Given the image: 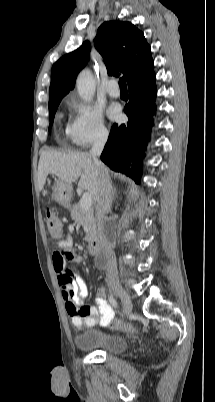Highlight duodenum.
<instances>
[{
	"mask_svg": "<svg viewBox=\"0 0 215 402\" xmlns=\"http://www.w3.org/2000/svg\"><path fill=\"white\" fill-rule=\"evenodd\" d=\"M88 253L95 255L98 254L101 250V241L97 238L89 241L87 245Z\"/></svg>",
	"mask_w": 215,
	"mask_h": 402,
	"instance_id": "410a0bca",
	"label": "duodenum"
}]
</instances>
